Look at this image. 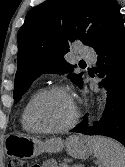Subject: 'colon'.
Returning <instances> with one entry per match:
<instances>
[{
	"label": "colon",
	"instance_id": "obj_1",
	"mask_svg": "<svg viewBox=\"0 0 125 167\" xmlns=\"http://www.w3.org/2000/svg\"><path fill=\"white\" fill-rule=\"evenodd\" d=\"M7 167H29L27 162L19 159H11L8 163ZM34 167H39V166H34Z\"/></svg>",
	"mask_w": 125,
	"mask_h": 167
}]
</instances>
